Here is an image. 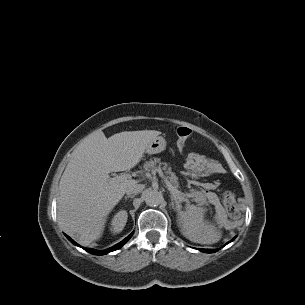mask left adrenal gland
<instances>
[{"mask_svg":"<svg viewBox=\"0 0 305 305\" xmlns=\"http://www.w3.org/2000/svg\"><path fill=\"white\" fill-rule=\"evenodd\" d=\"M170 198H171V205H172V208H173L174 210H178V207H179L178 202H176V206H175V202H174L173 196L170 195Z\"/></svg>","mask_w":305,"mask_h":305,"instance_id":"left-adrenal-gland-1","label":"left adrenal gland"}]
</instances>
